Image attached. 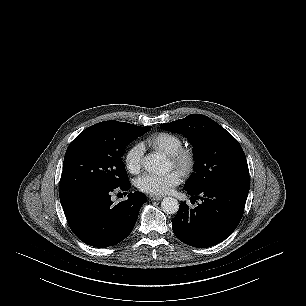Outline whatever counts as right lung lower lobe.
Returning a JSON list of instances; mask_svg holds the SVG:
<instances>
[{"instance_id": "98d812e1", "label": "right lung lower lobe", "mask_w": 306, "mask_h": 306, "mask_svg": "<svg viewBox=\"0 0 306 306\" xmlns=\"http://www.w3.org/2000/svg\"><path fill=\"white\" fill-rule=\"evenodd\" d=\"M130 187V182L118 188L94 187L60 199L73 233L84 243L99 248L124 240L131 233L146 196L137 191L129 193L126 201L114 204L111 194Z\"/></svg>"}]
</instances>
